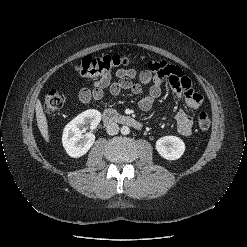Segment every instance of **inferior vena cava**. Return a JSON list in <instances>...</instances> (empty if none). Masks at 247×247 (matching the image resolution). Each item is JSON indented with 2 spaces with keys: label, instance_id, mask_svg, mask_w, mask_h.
I'll return each instance as SVG.
<instances>
[{
  "label": "inferior vena cava",
  "instance_id": "1",
  "mask_svg": "<svg viewBox=\"0 0 247 247\" xmlns=\"http://www.w3.org/2000/svg\"><path fill=\"white\" fill-rule=\"evenodd\" d=\"M106 132L109 135H116L119 132V125L117 123H110L106 127Z\"/></svg>",
  "mask_w": 247,
  "mask_h": 247
}]
</instances>
